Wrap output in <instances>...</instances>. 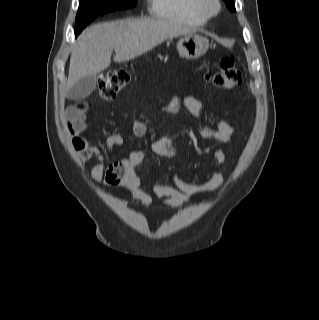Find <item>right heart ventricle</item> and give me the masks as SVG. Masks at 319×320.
I'll use <instances>...</instances> for the list:
<instances>
[{
    "mask_svg": "<svg viewBox=\"0 0 319 320\" xmlns=\"http://www.w3.org/2000/svg\"><path fill=\"white\" fill-rule=\"evenodd\" d=\"M149 9L158 19L193 27H201L208 22L198 9L197 0H149Z\"/></svg>",
    "mask_w": 319,
    "mask_h": 320,
    "instance_id": "1",
    "label": "right heart ventricle"
}]
</instances>
